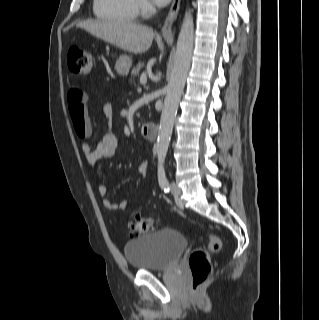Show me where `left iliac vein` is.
Returning <instances> with one entry per match:
<instances>
[{
  "label": "left iliac vein",
  "instance_id": "obj_1",
  "mask_svg": "<svg viewBox=\"0 0 319 320\" xmlns=\"http://www.w3.org/2000/svg\"><path fill=\"white\" fill-rule=\"evenodd\" d=\"M170 190H171V193L176 197H178L181 193L180 187L175 182H172L170 184Z\"/></svg>",
  "mask_w": 319,
  "mask_h": 320
}]
</instances>
